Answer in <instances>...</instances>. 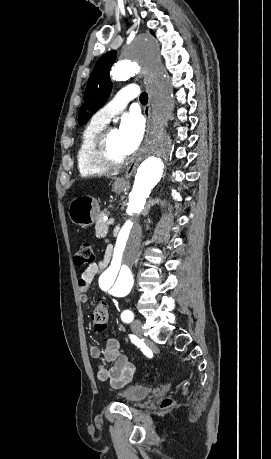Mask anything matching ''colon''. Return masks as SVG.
Listing matches in <instances>:
<instances>
[{"instance_id":"obj_1","label":"colon","mask_w":271,"mask_h":459,"mask_svg":"<svg viewBox=\"0 0 271 459\" xmlns=\"http://www.w3.org/2000/svg\"><path fill=\"white\" fill-rule=\"evenodd\" d=\"M95 259L92 245L88 242L83 243L79 250L74 255V264L81 266L84 264L92 263ZM108 305L105 300L99 301L93 309L91 314V323L93 330L96 334H102L107 330L108 327ZM172 405L171 399H165L162 406L167 408Z\"/></svg>"}]
</instances>
